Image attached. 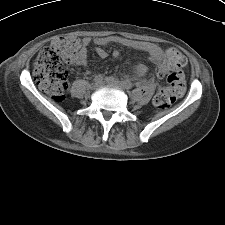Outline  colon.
I'll return each instance as SVG.
<instances>
[{
  "instance_id": "1",
  "label": "colon",
  "mask_w": 225,
  "mask_h": 225,
  "mask_svg": "<svg viewBox=\"0 0 225 225\" xmlns=\"http://www.w3.org/2000/svg\"><path fill=\"white\" fill-rule=\"evenodd\" d=\"M79 42L73 36L55 38L50 45L44 47L37 56L33 66V75L40 87L54 101H61L68 88V74L65 64L76 62ZM186 57L178 49L166 51L163 66L157 69V76L166 78L167 85L160 88L153 104L159 109H168L182 96L185 78L182 68L186 65Z\"/></svg>"
}]
</instances>
